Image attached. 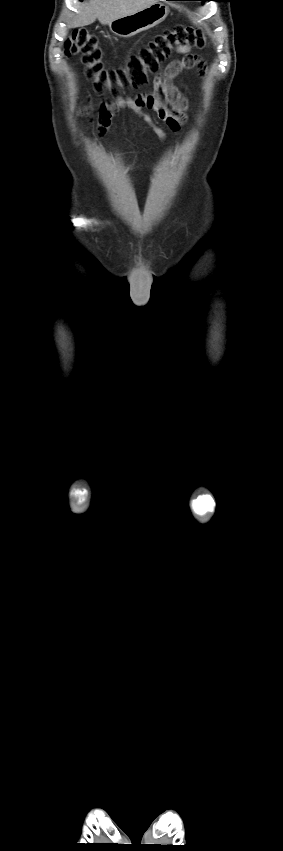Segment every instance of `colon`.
<instances>
[{"label": "colon", "instance_id": "obj_1", "mask_svg": "<svg viewBox=\"0 0 283 851\" xmlns=\"http://www.w3.org/2000/svg\"><path fill=\"white\" fill-rule=\"evenodd\" d=\"M206 44V36L201 30L178 25L155 35L130 59L125 68L115 70L104 68L98 39L86 30L74 31L66 40L64 49L67 55L81 54L86 76L93 81L95 91L109 89L117 93L144 85L147 73L158 72L174 50L184 47L203 48Z\"/></svg>", "mask_w": 283, "mask_h": 851}]
</instances>
